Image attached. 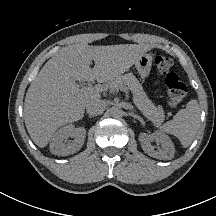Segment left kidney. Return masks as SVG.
<instances>
[{
	"label": "left kidney",
	"mask_w": 216,
	"mask_h": 216,
	"mask_svg": "<svg viewBox=\"0 0 216 216\" xmlns=\"http://www.w3.org/2000/svg\"><path fill=\"white\" fill-rule=\"evenodd\" d=\"M154 140L161 144V150L155 151L154 147L151 145V142ZM139 141L144 152L151 157L161 160H170L174 157L175 148L173 142L167 135L160 131H156L152 134L141 133L139 135Z\"/></svg>",
	"instance_id": "left-kidney-1"
}]
</instances>
